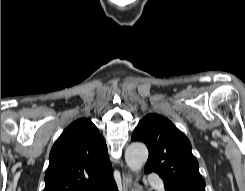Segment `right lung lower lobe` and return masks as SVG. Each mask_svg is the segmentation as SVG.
Masks as SVG:
<instances>
[{
	"label": "right lung lower lobe",
	"mask_w": 245,
	"mask_h": 191,
	"mask_svg": "<svg viewBox=\"0 0 245 191\" xmlns=\"http://www.w3.org/2000/svg\"><path fill=\"white\" fill-rule=\"evenodd\" d=\"M88 191H118V188L114 179L112 178L105 183L93 186Z\"/></svg>",
	"instance_id": "right-lung-lower-lobe-1"
}]
</instances>
